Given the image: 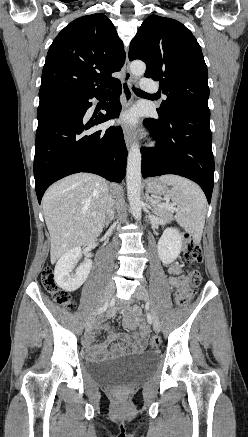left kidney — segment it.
I'll use <instances>...</instances> for the list:
<instances>
[{"label":"left kidney","instance_id":"left-kidney-1","mask_svg":"<svg viewBox=\"0 0 248 437\" xmlns=\"http://www.w3.org/2000/svg\"><path fill=\"white\" fill-rule=\"evenodd\" d=\"M183 235L175 228H168L158 241L157 249L160 260L164 264L172 263L182 249Z\"/></svg>","mask_w":248,"mask_h":437}]
</instances>
